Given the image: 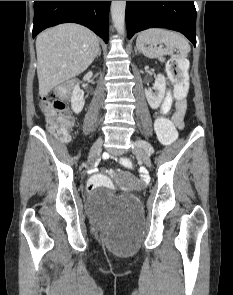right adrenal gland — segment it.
I'll use <instances>...</instances> for the list:
<instances>
[{
    "mask_svg": "<svg viewBox=\"0 0 233 295\" xmlns=\"http://www.w3.org/2000/svg\"><path fill=\"white\" fill-rule=\"evenodd\" d=\"M97 56H101V48H99Z\"/></svg>",
    "mask_w": 233,
    "mask_h": 295,
    "instance_id": "obj_1",
    "label": "right adrenal gland"
}]
</instances>
